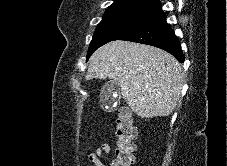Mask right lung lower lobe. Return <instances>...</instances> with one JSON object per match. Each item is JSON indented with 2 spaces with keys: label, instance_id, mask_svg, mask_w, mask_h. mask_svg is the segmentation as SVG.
Returning a JSON list of instances; mask_svg holds the SVG:
<instances>
[{
  "label": "right lung lower lobe",
  "instance_id": "obj_1",
  "mask_svg": "<svg viewBox=\"0 0 227 166\" xmlns=\"http://www.w3.org/2000/svg\"><path fill=\"white\" fill-rule=\"evenodd\" d=\"M115 40H126L155 46L169 52L180 62H184L185 59L179 41L174 31L167 24L161 8Z\"/></svg>",
  "mask_w": 227,
  "mask_h": 166
}]
</instances>
